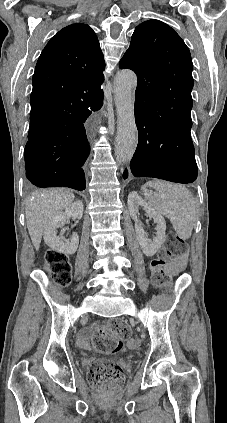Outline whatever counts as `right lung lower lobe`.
Instances as JSON below:
<instances>
[{
  "mask_svg": "<svg viewBox=\"0 0 227 423\" xmlns=\"http://www.w3.org/2000/svg\"><path fill=\"white\" fill-rule=\"evenodd\" d=\"M101 101L82 98L64 103L31 104L30 121L58 119L67 122L61 130L41 140H29L25 147L28 180L35 186L86 188L84 168L90 146L86 135L88 117Z\"/></svg>",
  "mask_w": 227,
  "mask_h": 423,
  "instance_id": "1",
  "label": "right lung lower lobe"
}]
</instances>
